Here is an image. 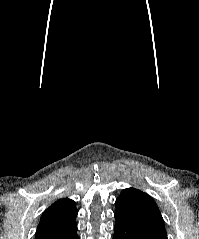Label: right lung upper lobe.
<instances>
[{"label": "right lung upper lobe", "mask_w": 199, "mask_h": 239, "mask_svg": "<svg viewBox=\"0 0 199 239\" xmlns=\"http://www.w3.org/2000/svg\"><path fill=\"white\" fill-rule=\"evenodd\" d=\"M76 216L75 202L70 199H60L43 212L38 228L57 225L72 220Z\"/></svg>", "instance_id": "1"}]
</instances>
